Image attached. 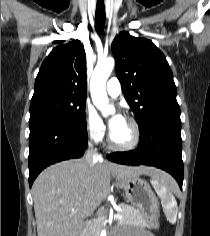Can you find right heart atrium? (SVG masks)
<instances>
[{
	"instance_id": "d8ad5b80",
	"label": "right heart atrium",
	"mask_w": 210,
	"mask_h": 236,
	"mask_svg": "<svg viewBox=\"0 0 210 236\" xmlns=\"http://www.w3.org/2000/svg\"><path fill=\"white\" fill-rule=\"evenodd\" d=\"M85 131L88 137L94 142H100L105 136V125L98 116L95 109L89 105L84 111Z\"/></svg>"
}]
</instances>
